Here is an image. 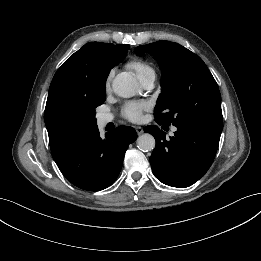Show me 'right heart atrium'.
Here are the masks:
<instances>
[{"label":"right heart atrium","mask_w":261,"mask_h":261,"mask_svg":"<svg viewBox=\"0 0 261 261\" xmlns=\"http://www.w3.org/2000/svg\"><path fill=\"white\" fill-rule=\"evenodd\" d=\"M113 75H114V72H113V71H110V72L108 73V75L106 76V79H105V87H106L107 89L110 87V84H111Z\"/></svg>","instance_id":"1"}]
</instances>
